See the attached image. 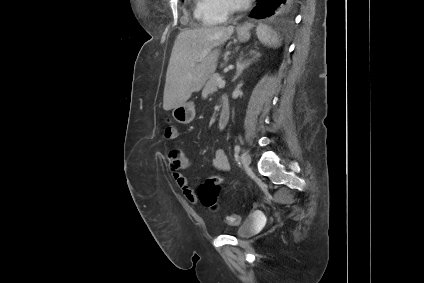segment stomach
Instances as JSON below:
<instances>
[{
    "label": "stomach",
    "instance_id": "1",
    "mask_svg": "<svg viewBox=\"0 0 424 283\" xmlns=\"http://www.w3.org/2000/svg\"><path fill=\"white\" fill-rule=\"evenodd\" d=\"M250 38L248 30L238 31V39L246 42ZM172 115L174 119L181 124H188L195 118V105L193 102H185L174 108Z\"/></svg>",
    "mask_w": 424,
    "mask_h": 283
}]
</instances>
